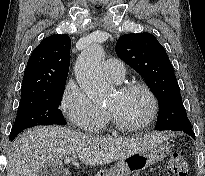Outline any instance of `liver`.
<instances>
[{"mask_svg": "<svg viewBox=\"0 0 205 176\" xmlns=\"http://www.w3.org/2000/svg\"><path fill=\"white\" fill-rule=\"evenodd\" d=\"M162 133L134 139L96 137L69 128L35 127L19 135L8 154L7 176H38L47 165H62L64 157L77 154L85 165H104L149 149L165 140Z\"/></svg>", "mask_w": 205, "mask_h": 176, "instance_id": "liver-1", "label": "liver"}]
</instances>
